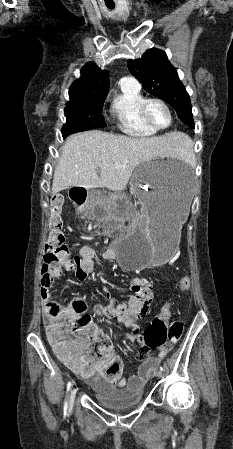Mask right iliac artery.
Masks as SVG:
<instances>
[{"instance_id": "82829eb1", "label": "right iliac artery", "mask_w": 233, "mask_h": 449, "mask_svg": "<svg viewBox=\"0 0 233 449\" xmlns=\"http://www.w3.org/2000/svg\"><path fill=\"white\" fill-rule=\"evenodd\" d=\"M71 385H72V382L71 381L68 382V384H67V392L70 390ZM67 410H68V402H67V400H65L64 407H63L64 414L67 413Z\"/></svg>"}]
</instances>
